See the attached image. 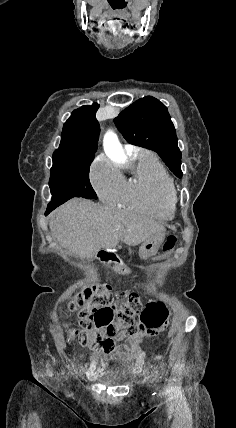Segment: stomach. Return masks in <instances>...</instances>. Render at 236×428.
Wrapping results in <instances>:
<instances>
[{
	"mask_svg": "<svg viewBox=\"0 0 236 428\" xmlns=\"http://www.w3.org/2000/svg\"><path fill=\"white\" fill-rule=\"evenodd\" d=\"M164 238V234H160V236H154V238H149V240L143 242L139 248L140 258H151V256H155L158 252V248H160L162 242H164ZM119 273L123 276L126 273V268L120 267Z\"/></svg>",
	"mask_w": 236,
	"mask_h": 428,
	"instance_id": "obj_1",
	"label": "stomach"
}]
</instances>
